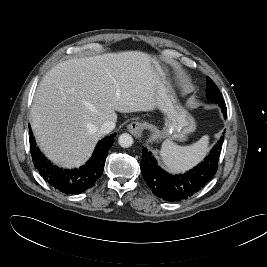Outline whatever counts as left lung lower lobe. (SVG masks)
Returning <instances> with one entry per match:
<instances>
[{
  "instance_id": "left-lung-lower-lobe-1",
  "label": "left lung lower lobe",
  "mask_w": 267,
  "mask_h": 267,
  "mask_svg": "<svg viewBox=\"0 0 267 267\" xmlns=\"http://www.w3.org/2000/svg\"><path fill=\"white\" fill-rule=\"evenodd\" d=\"M224 117L227 118L225 104H219ZM224 136H221L217 145L213 147L210 154L197 167L186 174L171 175L157 166L156 160L151 152L143 150V159L140 162L142 175L153 193L167 201H180L191 197L201 190L205 184L212 179L217 171L221 145Z\"/></svg>"
}]
</instances>
